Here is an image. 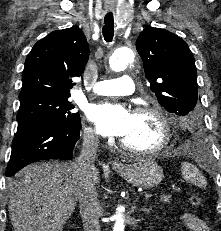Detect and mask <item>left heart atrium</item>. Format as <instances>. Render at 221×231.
Masks as SVG:
<instances>
[{"label":"left heart atrium","instance_id":"39dd6f15","mask_svg":"<svg viewBox=\"0 0 221 231\" xmlns=\"http://www.w3.org/2000/svg\"><path fill=\"white\" fill-rule=\"evenodd\" d=\"M132 117L133 114L120 104L102 103L92 106L89 111V118L104 136L126 135L131 128Z\"/></svg>","mask_w":221,"mask_h":231}]
</instances>
